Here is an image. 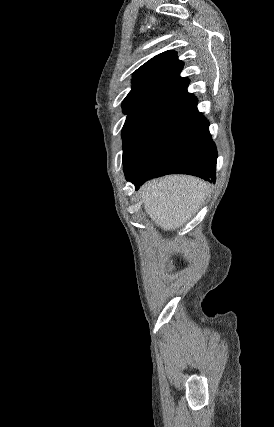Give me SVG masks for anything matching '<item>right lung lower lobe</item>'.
<instances>
[{
  "label": "right lung lower lobe",
  "mask_w": 274,
  "mask_h": 427,
  "mask_svg": "<svg viewBox=\"0 0 274 427\" xmlns=\"http://www.w3.org/2000/svg\"><path fill=\"white\" fill-rule=\"evenodd\" d=\"M197 99L174 105L139 161L125 168L137 190L145 181L165 174H190L215 182L217 151L208 121L198 112Z\"/></svg>",
  "instance_id": "right-lung-lower-lobe-1"
}]
</instances>
